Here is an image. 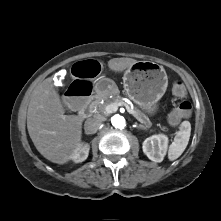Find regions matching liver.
<instances>
[{
	"label": "liver",
	"mask_w": 221,
	"mask_h": 221,
	"mask_svg": "<svg viewBox=\"0 0 221 221\" xmlns=\"http://www.w3.org/2000/svg\"><path fill=\"white\" fill-rule=\"evenodd\" d=\"M137 60L113 58L108 67L122 72ZM83 119L77 115H65V109L51 79L40 83L33 91L28 111L27 129L38 152L49 161L65 164L81 146Z\"/></svg>",
	"instance_id": "1"
}]
</instances>
